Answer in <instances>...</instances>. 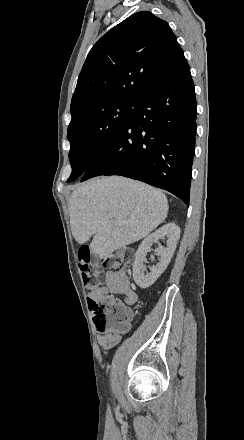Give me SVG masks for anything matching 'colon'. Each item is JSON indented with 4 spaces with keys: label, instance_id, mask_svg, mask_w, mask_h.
Masks as SVG:
<instances>
[{
    "label": "colon",
    "instance_id": "colon-1",
    "mask_svg": "<svg viewBox=\"0 0 244 440\" xmlns=\"http://www.w3.org/2000/svg\"><path fill=\"white\" fill-rule=\"evenodd\" d=\"M114 253L118 254V257L115 255L103 264L104 272H111L112 269L116 272L123 271L129 267L133 260L134 251L132 248H118V251L116 250ZM76 254L82 260L79 269L82 271L83 280L87 285L85 292L94 294L96 292L95 285L101 279L100 264L99 262H89L91 259L90 248H77ZM88 305L93 319H104L106 330L122 333L128 329V322L133 313L132 305L119 303L112 295L106 298L105 304H99L97 298H90Z\"/></svg>",
    "mask_w": 244,
    "mask_h": 440
}]
</instances>
